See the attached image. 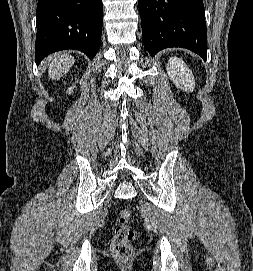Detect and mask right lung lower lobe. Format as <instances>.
Here are the masks:
<instances>
[{
    "label": "right lung lower lobe",
    "mask_w": 253,
    "mask_h": 271,
    "mask_svg": "<svg viewBox=\"0 0 253 271\" xmlns=\"http://www.w3.org/2000/svg\"><path fill=\"white\" fill-rule=\"evenodd\" d=\"M36 63L56 51L76 49L92 59L100 46L102 0H38Z\"/></svg>",
    "instance_id": "obj_1"
}]
</instances>
